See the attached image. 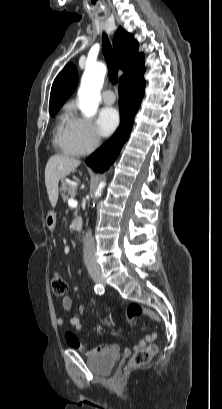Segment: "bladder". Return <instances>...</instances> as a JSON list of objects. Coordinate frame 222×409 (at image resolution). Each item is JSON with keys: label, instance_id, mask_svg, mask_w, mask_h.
<instances>
[{"label": "bladder", "instance_id": "obj_1", "mask_svg": "<svg viewBox=\"0 0 222 409\" xmlns=\"http://www.w3.org/2000/svg\"><path fill=\"white\" fill-rule=\"evenodd\" d=\"M118 359V353L115 351H107L90 357L87 360V365L97 374H106L113 369Z\"/></svg>", "mask_w": 222, "mask_h": 409}]
</instances>
